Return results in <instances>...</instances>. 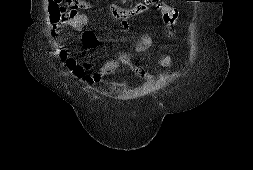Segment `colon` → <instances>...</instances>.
Here are the masks:
<instances>
[{"label":"colon","mask_w":253,"mask_h":170,"mask_svg":"<svg viewBox=\"0 0 253 170\" xmlns=\"http://www.w3.org/2000/svg\"><path fill=\"white\" fill-rule=\"evenodd\" d=\"M157 0H148V3H155ZM49 12L52 20L58 22L66 18H72L79 14L83 8L81 0H48ZM176 18L177 14L174 13Z\"/></svg>","instance_id":"5ec220e1"}]
</instances>
